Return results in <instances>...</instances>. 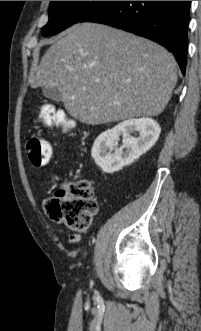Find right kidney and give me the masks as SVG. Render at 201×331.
I'll use <instances>...</instances> for the list:
<instances>
[{"instance_id": "obj_1", "label": "right kidney", "mask_w": 201, "mask_h": 331, "mask_svg": "<svg viewBox=\"0 0 201 331\" xmlns=\"http://www.w3.org/2000/svg\"><path fill=\"white\" fill-rule=\"evenodd\" d=\"M161 129L151 118L129 119L101 133L94 141L91 155L104 173H114L136 161L158 140ZM131 133H138L133 137ZM123 136V146L117 147ZM114 151V153H112Z\"/></svg>"}]
</instances>
